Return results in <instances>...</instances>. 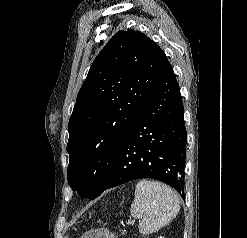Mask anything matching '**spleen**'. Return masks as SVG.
I'll return each instance as SVG.
<instances>
[{"mask_svg":"<svg viewBox=\"0 0 247 238\" xmlns=\"http://www.w3.org/2000/svg\"><path fill=\"white\" fill-rule=\"evenodd\" d=\"M180 202L176 193L167 185L141 180L135 187L131 215L139 219V232L154 233L176 217Z\"/></svg>","mask_w":247,"mask_h":238,"instance_id":"spleen-1","label":"spleen"}]
</instances>
